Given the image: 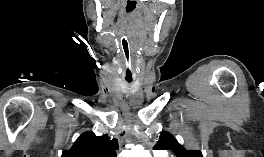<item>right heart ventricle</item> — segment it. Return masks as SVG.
<instances>
[{"label":"right heart ventricle","mask_w":264,"mask_h":157,"mask_svg":"<svg viewBox=\"0 0 264 157\" xmlns=\"http://www.w3.org/2000/svg\"><path fill=\"white\" fill-rule=\"evenodd\" d=\"M156 157H167V156H156Z\"/></svg>","instance_id":"1"}]
</instances>
